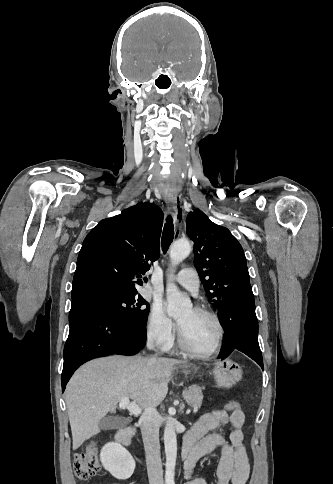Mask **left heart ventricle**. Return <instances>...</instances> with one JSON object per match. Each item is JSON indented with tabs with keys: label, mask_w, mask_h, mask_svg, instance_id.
Masks as SVG:
<instances>
[{
	"label": "left heart ventricle",
	"mask_w": 333,
	"mask_h": 484,
	"mask_svg": "<svg viewBox=\"0 0 333 484\" xmlns=\"http://www.w3.org/2000/svg\"><path fill=\"white\" fill-rule=\"evenodd\" d=\"M177 322L187 342L194 349L205 352L213 347L218 331L215 322L209 316L189 308L177 317Z\"/></svg>",
	"instance_id": "obj_1"
}]
</instances>
